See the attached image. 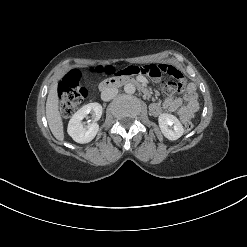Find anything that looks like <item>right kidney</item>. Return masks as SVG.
<instances>
[{"instance_id":"ca27d5eb","label":"right kidney","mask_w":247,"mask_h":247,"mask_svg":"<svg viewBox=\"0 0 247 247\" xmlns=\"http://www.w3.org/2000/svg\"><path fill=\"white\" fill-rule=\"evenodd\" d=\"M102 111V106L99 103H89L71 117L67 132L75 142L84 144L94 139L99 130L97 121L101 118ZM89 113H92L94 120L88 126H85L82 120Z\"/></svg>"}]
</instances>
